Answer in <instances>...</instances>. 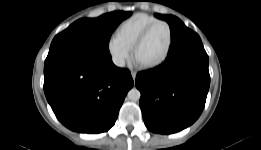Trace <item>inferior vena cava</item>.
Segmentation results:
<instances>
[{"instance_id": "1", "label": "inferior vena cava", "mask_w": 261, "mask_h": 150, "mask_svg": "<svg viewBox=\"0 0 261 150\" xmlns=\"http://www.w3.org/2000/svg\"><path fill=\"white\" fill-rule=\"evenodd\" d=\"M113 62L118 67H124L125 66V60L121 57H115L113 59Z\"/></svg>"}]
</instances>
